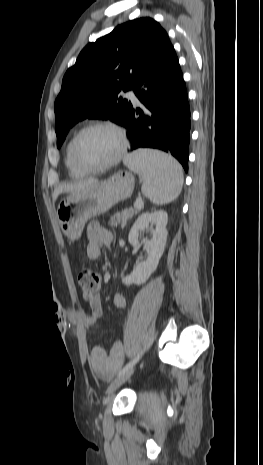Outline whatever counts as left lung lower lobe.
<instances>
[{
  "mask_svg": "<svg viewBox=\"0 0 263 465\" xmlns=\"http://www.w3.org/2000/svg\"><path fill=\"white\" fill-rule=\"evenodd\" d=\"M133 90L144 104L132 108L123 126L128 129L131 150L139 147L171 153L188 171L190 110L187 90L175 50L168 42L139 78Z\"/></svg>",
  "mask_w": 263,
  "mask_h": 465,
  "instance_id": "1",
  "label": "left lung lower lobe"
}]
</instances>
